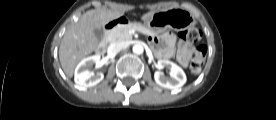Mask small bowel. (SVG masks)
Masks as SVG:
<instances>
[{
    "label": "small bowel",
    "instance_id": "obj_1",
    "mask_svg": "<svg viewBox=\"0 0 276 120\" xmlns=\"http://www.w3.org/2000/svg\"><path fill=\"white\" fill-rule=\"evenodd\" d=\"M152 42L158 45L155 52L157 57L165 59L176 57L180 65H188L192 55V48L184 42H179L175 49L176 37L173 33L167 32L160 38H152Z\"/></svg>",
    "mask_w": 276,
    "mask_h": 120
}]
</instances>
